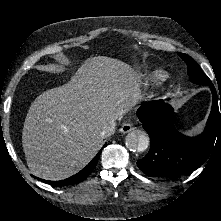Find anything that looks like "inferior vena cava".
<instances>
[{"mask_svg":"<svg viewBox=\"0 0 221 221\" xmlns=\"http://www.w3.org/2000/svg\"><path fill=\"white\" fill-rule=\"evenodd\" d=\"M116 127V121H111L110 124L105 125L103 130L100 133L102 138H106L114 133Z\"/></svg>","mask_w":221,"mask_h":221,"instance_id":"602c4592","label":"inferior vena cava"}]
</instances>
